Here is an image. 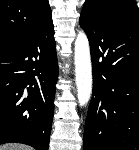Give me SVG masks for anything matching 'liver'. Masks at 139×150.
Here are the masks:
<instances>
[{
  "label": "liver",
  "instance_id": "1",
  "mask_svg": "<svg viewBox=\"0 0 139 150\" xmlns=\"http://www.w3.org/2000/svg\"><path fill=\"white\" fill-rule=\"evenodd\" d=\"M0 150H30L29 147L22 145H3L0 146Z\"/></svg>",
  "mask_w": 139,
  "mask_h": 150
}]
</instances>
